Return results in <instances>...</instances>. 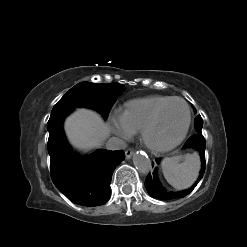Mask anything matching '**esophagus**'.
Listing matches in <instances>:
<instances>
[{
    "mask_svg": "<svg viewBox=\"0 0 247 247\" xmlns=\"http://www.w3.org/2000/svg\"><path fill=\"white\" fill-rule=\"evenodd\" d=\"M134 154V150L129 148L125 151V156L127 159H130L132 157V155Z\"/></svg>",
    "mask_w": 247,
    "mask_h": 247,
    "instance_id": "34e87169",
    "label": "esophagus"
}]
</instances>
